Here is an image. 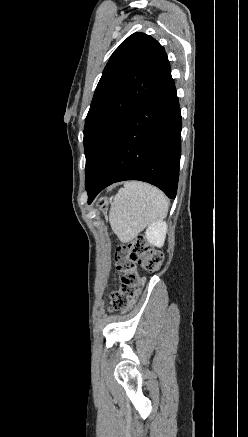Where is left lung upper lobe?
Instances as JSON below:
<instances>
[{
    "instance_id": "left-lung-upper-lobe-1",
    "label": "left lung upper lobe",
    "mask_w": 248,
    "mask_h": 437,
    "mask_svg": "<svg viewBox=\"0 0 248 437\" xmlns=\"http://www.w3.org/2000/svg\"><path fill=\"white\" fill-rule=\"evenodd\" d=\"M170 72L164 48L144 33L132 34L114 51L85 120L86 190L121 127Z\"/></svg>"
}]
</instances>
